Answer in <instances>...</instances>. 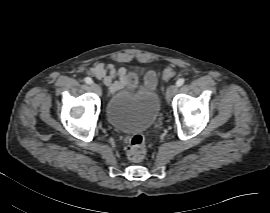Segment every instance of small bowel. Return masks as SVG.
<instances>
[{
	"instance_id": "obj_1",
	"label": "small bowel",
	"mask_w": 270,
	"mask_h": 213,
	"mask_svg": "<svg viewBox=\"0 0 270 213\" xmlns=\"http://www.w3.org/2000/svg\"><path fill=\"white\" fill-rule=\"evenodd\" d=\"M90 73L106 85L111 92L125 87L129 91H135L141 81L148 90H153L156 86V73L153 70L141 77L136 70L127 73L124 68H116L113 64L98 62L90 69Z\"/></svg>"
}]
</instances>
